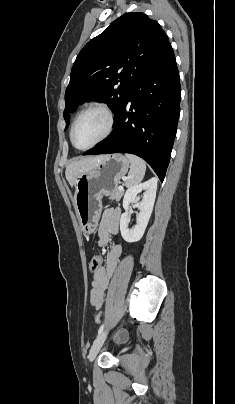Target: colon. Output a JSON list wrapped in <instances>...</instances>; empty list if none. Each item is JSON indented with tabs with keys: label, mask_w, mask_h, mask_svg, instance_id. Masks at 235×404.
Returning a JSON list of instances; mask_svg holds the SVG:
<instances>
[{
	"label": "colon",
	"mask_w": 235,
	"mask_h": 404,
	"mask_svg": "<svg viewBox=\"0 0 235 404\" xmlns=\"http://www.w3.org/2000/svg\"><path fill=\"white\" fill-rule=\"evenodd\" d=\"M102 264H103L102 256L94 255L90 259L89 268L91 271H97L98 269H100L102 267ZM101 320H102V313L97 312L94 316V321H95V323L99 324L101 322Z\"/></svg>",
	"instance_id": "colon-1"
}]
</instances>
